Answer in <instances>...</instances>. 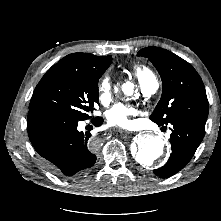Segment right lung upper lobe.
Segmentation results:
<instances>
[{"mask_svg": "<svg viewBox=\"0 0 221 221\" xmlns=\"http://www.w3.org/2000/svg\"><path fill=\"white\" fill-rule=\"evenodd\" d=\"M111 56H95L89 53H73L62 58L58 64H66L83 70H97L111 64Z\"/></svg>", "mask_w": 221, "mask_h": 221, "instance_id": "obj_1", "label": "right lung upper lobe"}]
</instances>
